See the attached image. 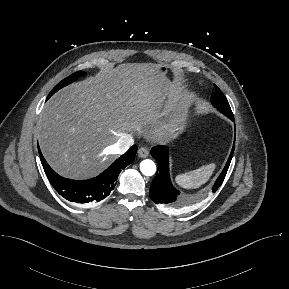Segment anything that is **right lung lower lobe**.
I'll use <instances>...</instances> for the list:
<instances>
[{"mask_svg":"<svg viewBox=\"0 0 289 289\" xmlns=\"http://www.w3.org/2000/svg\"><path fill=\"white\" fill-rule=\"evenodd\" d=\"M38 150L45 174L54 189L68 201L91 205L103 200L111 193L121 170L134 162L137 146L133 145L97 177L84 181L66 179L58 175L48 165L40 149Z\"/></svg>","mask_w":289,"mask_h":289,"instance_id":"98d812e1","label":"right lung lower lobe"}]
</instances>
